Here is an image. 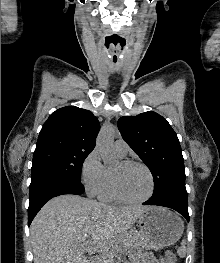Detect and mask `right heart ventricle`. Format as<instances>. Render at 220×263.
<instances>
[{"label": "right heart ventricle", "instance_id": "right-heart-ventricle-1", "mask_svg": "<svg viewBox=\"0 0 220 263\" xmlns=\"http://www.w3.org/2000/svg\"><path fill=\"white\" fill-rule=\"evenodd\" d=\"M106 178L104 185L99 192V197L104 201H114L117 200V198L114 195L113 189H112V180H111V170L108 168H105Z\"/></svg>", "mask_w": 220, "mask_h": 263}]
</instances>
